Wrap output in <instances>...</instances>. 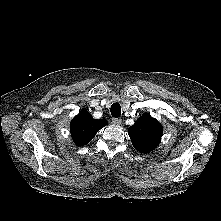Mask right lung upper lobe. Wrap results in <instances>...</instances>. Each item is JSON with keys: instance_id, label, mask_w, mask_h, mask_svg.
I'll return each mask as SVG.
<instances>
[{"instance_id": "1", "label": "right lung upper lobe", "mask_w": 221, "mask_h": 221, "mask_svg": "<svg viewBox=\"0 0 221 221\" xmlns=\"http://www.w3.org/2000/svg\"><path fill=\"white\" fill-rule=\"evenodd\" d=\"M105 125H107L106 120L93 119L87 111L82 110L71 121L70 131L73 141L77 146H84Z\"/></svg>"}]
</instances>
